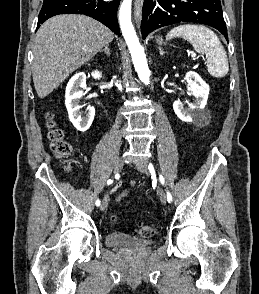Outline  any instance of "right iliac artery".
<instances>
[{"label":"right iliac artery","instance_id":"82829eb1","mask_svg":"<svg viewBox=\"0 0 259 294\" xmlns=\"http://www.w3.org/2000/svg\"><path fill=\"white\" fill-rule=\"evenodd\" d=\"M115 177L118 178L119 177V174H116ZM112 183H113V181L110 180V179L107 181V184L108 185L109 184H112ZM95 204H96V206H100V204H101L100 200L98 199Z\"/></svg>","mask_w":259,"mask_h":294}]
</instances>
